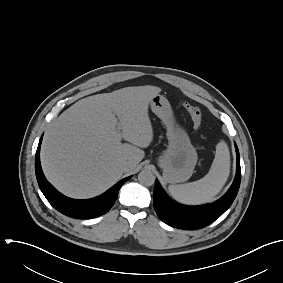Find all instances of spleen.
<instances>
[{
	"instance_id": "1",
	"label": "spleen",
	"mask_w": 283,
	"mask_h": 283,
	"mask_svg": "<svg viewBox=\"0 0 283 283\" xmlns=\"http://www.w3.org/2000/svg\"><path fill=\"white\" fill-rule=\"evenodd\" d=\"M230 173V153L227 144L220 141L211 168L203 178L182 185H169L170 195L186 205L209 203L224 187Z\"/></svg>"
}]
</instances>
